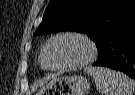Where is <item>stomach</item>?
Masks as SVG:
<instances>
[{
  "instance_id": "1",
  "label": "stomach",
  "mask_w": 135,
  "mask_h": 95,
  "mask_svg": "<svg viewBox=\"0 0 135 95\" xmlns=\"http://www.w3.org/2000/svg\"><path fill=\"white\" fill-rule=\"evenodd\" d=\"M90 82L83 76H59L51 79L36 95H85Z\"/></svg>"
}]
</instances>
